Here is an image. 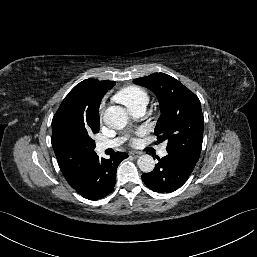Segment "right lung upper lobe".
Returning <instances> with one entry per match:
<instances>
[{"mask_svg":"<svg viewBox=\"0 0 257 257\" xmlns=\"http://www.w3.org/2000/svg\"><path fill=\"white\" fill-rule=\"evenodd\" d=\"M114 81L86 79L62 101L52 119V146L67 182L73 186L82 177L96 153L91 138L99 131V106Z\"/></svg>","mask_w":257,"mask_h":257,"instance_id":"right-lung-upper-lobe-1","label":"right lung upper lobe"}]
</instances>
